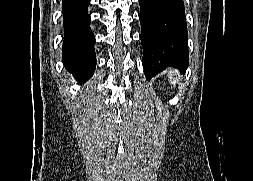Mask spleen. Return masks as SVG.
Masks as SVG:
<instances>
[{
    "label": "spleen",
    "mask_w": 253,
    "mask_h": 181,
    "mask_svg": "<svg viewBox=\"0 0 253 181\" xmlns=\"http://www.w3.org/2000/svg\"><path fill=\"white\" fill-rule=\"evenodd\" d=\"M167 73H168V80H169V82L173 85V88H175L176 83H177L175 81V79L176 80L179 79L178 72L174 71V70H169Z\"/></svg>",
    "instance_id": "spleen-1"
}]
</instances>
